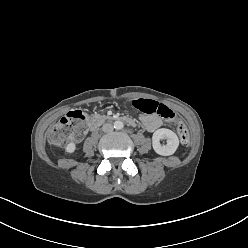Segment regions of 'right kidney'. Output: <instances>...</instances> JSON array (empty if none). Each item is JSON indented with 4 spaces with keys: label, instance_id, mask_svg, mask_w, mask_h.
Returning <instances> with one entry per match:
<instances>
[{
    "label": "right kidney",
    "instance_id": "obj_1",
    "mask_svg": "<svg viewBox=\"0 0 248 248\" xmlns=\"http://www.w3.org/2000/svg\"><path fill=\"white\" fill-rule=\"evenodd\" d=\"M75 150H76V145L74 142L68 143L65 147V152L69 154L74 153Z\"/></svg>",
    "mask_w": 248,
    "mask_h": 248
}]
</instances>
